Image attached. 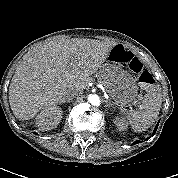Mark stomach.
<instances>
[{"label":"stomach","mask_w":178,"mask_h":178,"mask_svg":"<svg viewBox=\"0 0 178 178\" xmlns=\"http://www.w3.org/2000/svg\"><path fill=\"white\" fill-rule=\"evenodd\" d=\"M116 44L110 51L105 64L98 72L99 81L104 85L115 104L124 106L132 103L138 96L136 79L126 69L128 61L122 55H115ZM125 55L128 53L124 49Z\"/></svg>","instance_id":"0dacf381"}]
</instances>
